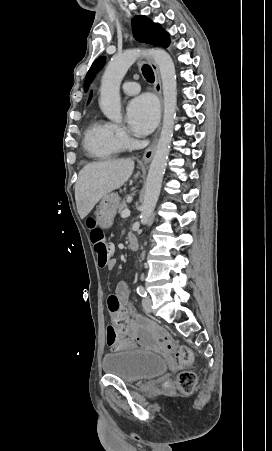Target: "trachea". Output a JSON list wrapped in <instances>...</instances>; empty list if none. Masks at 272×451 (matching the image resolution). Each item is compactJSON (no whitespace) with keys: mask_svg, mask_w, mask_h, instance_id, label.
<instances>
[{"mask_svg":"<svg viewBox=\"0 0 272 451\" xmlns=\"http://www.w3.org/2000/svg\"><path fill=\"white\" fill-rule=\"evenodd\" d=\"M142 73L148 82L152 83L154 81V73L149 65H143Z\"/></svg>","mask_w":272,"mask_h":451,"instance_id":"obj_1","label":"trachea"}]
</instances>
